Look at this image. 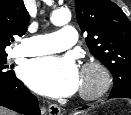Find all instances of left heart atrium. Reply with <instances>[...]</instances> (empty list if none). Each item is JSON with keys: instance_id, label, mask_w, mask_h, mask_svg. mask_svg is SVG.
<instances>
[{"instance_id": "obj_1", "label": "left heart atrium", "mask_w": 131, "mask_h": 115, "mask_svg": "<svg viewBox=\"0 0 131 115\" xmlns=\"http://www.w3.org/2000/svg\"><path fill=\"white\" fill-rule=\"evenodd\" d=\"M24 82L34 91L50 96L74 94L80 86V72L70 57L47 56L25 63L20 71Z\"/></svg>"}]
</instances>
